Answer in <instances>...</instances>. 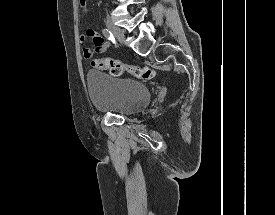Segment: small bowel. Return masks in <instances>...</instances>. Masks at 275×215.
<instances>
[{
  "instance_id": "small-bowel-1",
  "label": "small bowel",
  "mask_w": 275,
  "mask_h": 215,
  "mask_svg": "<svg viewBox=\"0 0 275 215\" xmlns=\"http://www.w3.org/2000/svg\"><path fill=\"white\" fill-rule=\"evenodd\" d=\"M88 38L92 40L96 50L98 51H105L110 47V43L105 42L103 37L94 30H86V32L80 36V41L84 43ZM82 55L85 59H90L92 56L91 49L88 47L82 48Z\"/></svg>"
}]
</instances>
